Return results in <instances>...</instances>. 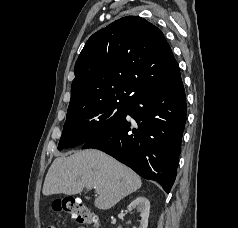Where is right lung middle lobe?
Instances as JSON below:
<instances>
[{
    "label": "right lung middle lobe",
    "instance_id": "obj_1",
    "mask_svg": "<svg viewBox=\"0 0 238 228\" xmlns=\"http://www.w3.org/2000/svg\"><path fill=\"white\" fill-rule=\"evenodd\" d=\"M128 102H101L67 114L58 150L86 143L120 121Z\"/></svg>",
    "mask_w": 238,
    "mask_h": 228
}]
</instances>
